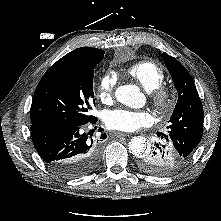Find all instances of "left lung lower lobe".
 Masks as SVG:
<instances>
[{
  "label": "left lung lower lobe",
  "instance_id": "left-lung-lower-lobe-1",
  "mask_svg": "<svg viewBox=\"0 0 221 221\" xmlns=\"http://www.w3.org/2000/svg\"><path fill=\"white\" fill-rule=\"evenodd\" d=\"M161 139L156 147L140 157L138 167L145 173L155 176H169L181 170L189 160L179 155L169 137L157 132Z\"/></svg>",
  "mask_w": 221,
  "mask_h": 221
}]
</instances>
